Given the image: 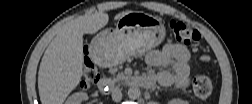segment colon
Returning <instances> with one entry per match:
<instances>
[{"instance_id": "5ec220e1", "label": "colon", "mask_w": 252, "mask_h": 104, "mask_svg": "<svg viewBox=\"0 0 252 104\" xmlns=\"http://www.w3.org/2000/svg\"><path fill=\"white\" fill-rule=\"evenodd\" d=\"M169 27L175 41L184 45H190L196 42L200 37L196 29L178 20H171ZM201 59L208 60L209 58L207 56H201ZM99 77L100 75L96 66L90 60H87L83 67L81 87L83 89H88L98 81ZM193 91L200 100H207L212 93V83L210 79L204 75L195 76L193 79Z\"/></svg>"}]
</instances>
